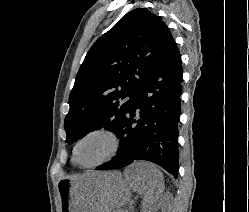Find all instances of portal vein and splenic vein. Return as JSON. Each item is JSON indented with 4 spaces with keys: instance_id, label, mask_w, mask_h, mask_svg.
Returning <instances> with one entry per match:
<instances>
[{
    "instance_id": "obj_1",
    "label": "portal vein and splenic vein",
    "mask_w": 249,
    "mask_h": 212,
    "mask_svg": "<svg viewBox=\"0 0 249 212\" xmlns=\"http://www.w3.org/2000/svg\"><path fill=\"white\" fill-rule=\"evenodd\" d=\"M122 212H127V210H122Z\"/></svg>"
}]
</instances>
